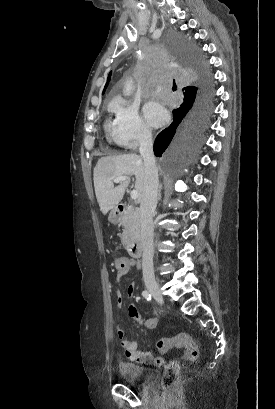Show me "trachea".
<instances>
[{
	"instance_id": "1",
	"label": "trachea",
	"mask_w": 275,
	"mask_h": 409,
	"mask_svg": "<svg viewBox=\"0 0 275 409\" xmlns=\"http://www.w3.org/2000/svg\"><path fill=\"white\" fill-rule=\"evenodd\" d=\"M177 86L175 84V81H173V90H176Z\"/></svg>"
}]
</instances>
